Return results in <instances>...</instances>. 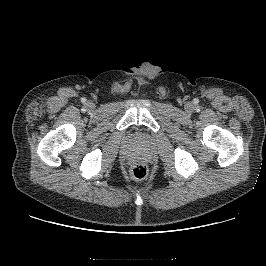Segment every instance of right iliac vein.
<instances>
[{
	"instance_id": "1",
	"label": "right iliac vein",
	"mask_w": 266,
	"mask_h": 266,
	"mask_svg": "<svg viewBox=\"0 0 266 266\" xmlns=\"http://www.w3.org/2000/svg\"><path fill=\"white\" fill-rule=\"evenodd\" d=\"M89 107H90V108H93V107H94V104L91 103V102H89Z\"/></svg>"
}]
</instances>
